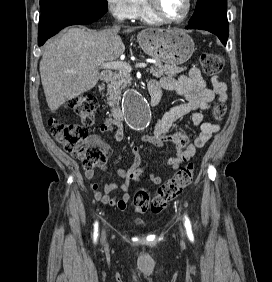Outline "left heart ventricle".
<instances>
[{
  "label": "left heart ventricle",
  "instance_id": "b2bd125f",
  "mask_svg": "<svg viewBox=\"0 0 272 282\" xmlns=\"http://www.w3.org/2000/svg\"><path fill=\"white\" fill-rule=\"evenodd\" d=\"M159 7L170 18H179L186 11V0H157Z\"/></svg>",
  "mask_w": 272,
  "mask_h": 282
}]
</instances>
